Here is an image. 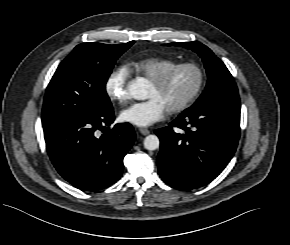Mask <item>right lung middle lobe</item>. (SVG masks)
<instances>
[{
  "mask_svg": "<svg viewBox=\"0 0 290 245\" xmlns=\"http://www.w3.org/2000/svg\"><path fill=\"white\" fill-rule=\"evenodd\" d=\"M133 43L76 46L58 66L47 87L42 119L74 118L112 109L106 82L116 60Z\"/></svg>",
  "mask_w": 290,
  "mask_h": 245,
  "instance_id": "right-lung-middle-lobe-1",
  "label": "right lung middle lobe"
}]
</instances>
